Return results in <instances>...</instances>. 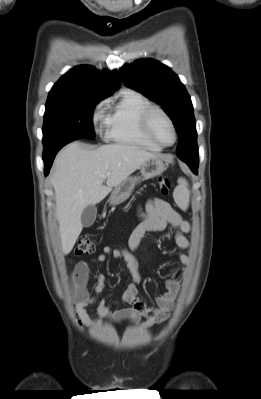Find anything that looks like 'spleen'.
I'll use <instances>...</instances> for the list:
<instances>
[{
	"instance_id": "obj_1",
	"label": "spleen",
	"mask_w": 261,
	"mask_h": 399,
	"mask_svg": "<svg viewBox=\"0 0 261 399\" xmlns=\"http://www.w3.org/2000/svg\"><path fill=\"white\" fill-rule=\"evenodd\" d=\"M178 186L175 188L173 197L176 204L182 209L186 210L189 206L190 191L188 183L184 178L178 180Z\"/></svg>"
}]
</instances>
